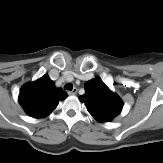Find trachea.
<instances>
[{
  "label": "trachea",
  "mask_w": 163,
  "mask_h": 163,
  "mask_svg": "<svg viewBox=\"0 0 163 163\" xmlns=\"http://www.w3.org/2000/svg\"><path fill=\"white\" fill-rule=\"evenodd\" d=\"M64 89L71 91L73 89V84H71V83L65 84Z\"/></svg>",
  "instance_id": "trachea-1"
}]
</instances>
